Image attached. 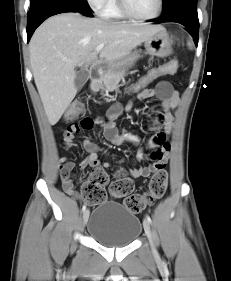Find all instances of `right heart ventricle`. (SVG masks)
Returning <instances> with one entry per match:
<instances>
[{
	"instance_id": "e07e8e85",
	"label": "right heart ventricle",
	"mask_w": 231,
	"mask_h": 281,
	"mask_svg": "<svg viewBox=\"0 0 231 281\" xmlns=\"http://www.w3.org/2000/svg\"><path fill=\"white\" fill-rule=\"evenodd\" d=\"M102 16L108 20H121L124 15L121 13L117 0H110L102 12Z\"/></svg>"
}]
</instances>
